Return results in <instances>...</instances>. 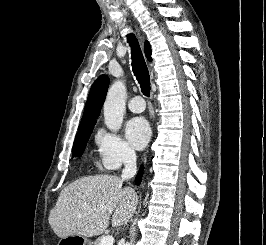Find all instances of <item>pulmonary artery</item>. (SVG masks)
<instances>
[{
  "instance_id": "pulmonary-artery-1",
  "label": "pulmonary artery",
  "mask_w": 266,
  "mask_h": 245,
  "mask_svg": "<svg viewBox=\"0 0 266 245\" xmlns=\"http://www.w3.org/2000/svg\"><path fill=\"white\" fill-rule=\"evenodd\" d=\"M138 99H141V97L136 96L128 102L129 110L134 113H141L145 110L144 101L142 99L141 100H138Z\"/></svg>"
}]
</instances>
